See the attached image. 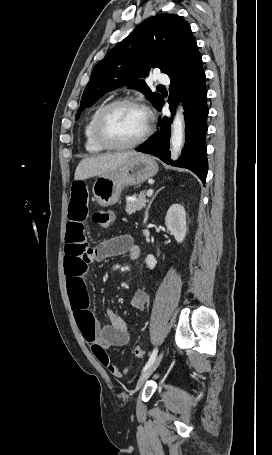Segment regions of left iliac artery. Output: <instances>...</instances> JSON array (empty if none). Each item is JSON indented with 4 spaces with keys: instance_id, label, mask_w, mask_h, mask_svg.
I'll use <instances>...</instances> for the list:
<instances>
[{
    "instance_id": "obj_1",
    "label": "left iliac artery",
    "mask_w": 272,
    "mask_h": 455,
    "mask_svg": "<svg viewBox=\"0 0 272 455\" xmlns=\"http://www.w3.org/2000/svg\"><path fill=\"white\" fill-rule=\"evenodd\" d=\"M156 355H157V348H155L153 350L152 354L150 355L149 360L147 361L146 365L143 368V372L154 362Z\"/></svg>"
}]
</instances>
